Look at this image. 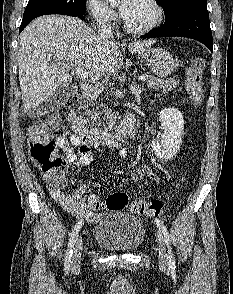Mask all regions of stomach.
Instances as JSON below:
<instances>
[{
	"mask_svg": "<svg viewBox=\"0 0 233 294\" xmlns=\"http://www.w3.org/2000/svg\"><path fill=\"white\" fill-rule=\"evenodd\" d=\"M142 56L150 70L158 77L168 76L176 66L173 56L161 48L147 49Z\"/></svg>",
	"mask_w": 233,
	"mask_h": 294,
	"instance_id": "1",
	"label": "stomach"
}]
</instances>
